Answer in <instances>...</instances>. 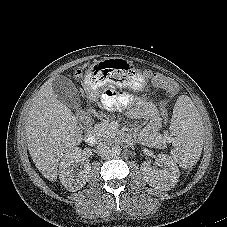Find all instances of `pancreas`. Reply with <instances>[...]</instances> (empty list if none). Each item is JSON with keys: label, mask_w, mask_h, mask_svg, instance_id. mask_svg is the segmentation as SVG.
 <instances>
[{"label": "pancreas", "mask_w": 227, "mask_h": 227, "mask_svg": "<svg viewBox=\"0 0 227 227\" xmlns=\"http://www.w3.org/2000/svg\"><path fill=\"white\" fill-rule=\"evenodd\" d=\"M93 132L98 138H102L103 140H110L116 135V130L108 122L96 124Z\"/></svg>", "instance_id": "pancreas-1"}]
</instances>
